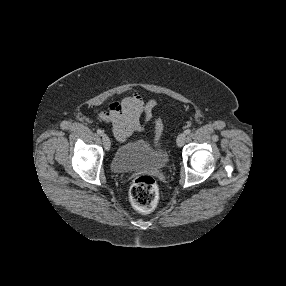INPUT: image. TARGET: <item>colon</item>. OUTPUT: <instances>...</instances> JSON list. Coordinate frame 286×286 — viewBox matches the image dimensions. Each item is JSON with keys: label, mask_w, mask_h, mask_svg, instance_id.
I'll return each mask as SVG.
<instances>
[{"label": "colon", "mask_w": 286, "mask_h": 286, "mask_svg": "<svg viewBox=\"0 0 286 286\" xmlns=\"http://www.w3.org/2000/svg\"><path fill=\"white\" fill-rule=\"evenodd\" d=\"M163 132V122L156 120L155 133L159 138ZM129 196L132 205L141 212L152 211L159 199V188L155 179L149 175L137 177L131 184Z\"/></svg>", "instance_id": "obj_1"}]
</instances>
